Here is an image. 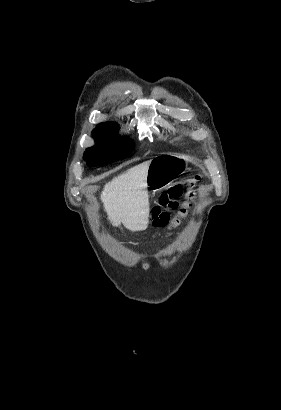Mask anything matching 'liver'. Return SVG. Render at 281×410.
I'll list each match as a JSON object with an SVG mask.
<instances>
[{"instance_id":"obj_1","label":"liver","mask_w":281,"mask_h":410,"mask_svg":"<svg viewBox=\"0 0 281 410\" xmlns=\"http://www.w3.org/2000/svg\"><path fill=\"white\" fill-rule=\"evenodd\" d=\"M150 161L136 165L108 182L101 193V201L113 226L132 232L143 231L149 223V195L147 173Z\"/></svg>"}]
</instances>
